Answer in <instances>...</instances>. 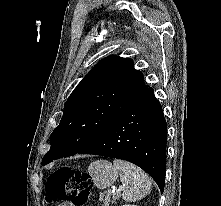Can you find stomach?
<instances>
[{
  "mask_svg": "<svg viewBox=\"0 0 221 206\" xmlns=\"http://www.w3.org/2000/svg\"><path fill=\"white\" fill-rule=\"evenodd\" d=\"M88 173L93 183L99 189H105L114 184L118 178L117 169L106 160H98L90 164Z\"/></svg>",
  "mask_w": 221,
  "mask_h": 206,
  "instance_id": "stomach-1",
  "label": "stomach"
}]
</instances>
